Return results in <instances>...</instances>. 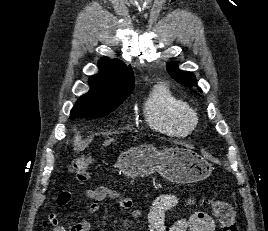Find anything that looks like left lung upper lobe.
<instances>
[{
    "label": "left lung upper lobe",
    "instance_id": "left-lung-upper-lobe-1",
    "mask_svg": "<svg viewBox=\"0 0 268 231\" xmlns=\"http://www.w3.org/2000/svg\"><path fill=\"white\" fill-rule=\"evenodd\" d=\"M167 71L171 77L176 80L178 83L187 86H197L196 78L193 73L180 71L176 63H170L167 65ZM198 90L201 92V89L198 87Z\"/></svg>",
    "mask_w": 268,
    "mask_h": 231
}]
</instances>
